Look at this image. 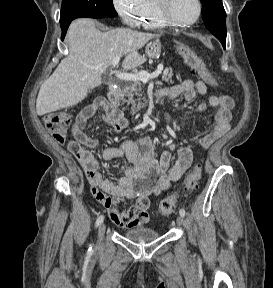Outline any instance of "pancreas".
I'll use <instances>...</instances> for the list:
<instances>
[{"mask_svg": "<svg viewBox=\"0 0 273 288\" xmlns=\"http://www.w3.org/2000/svg\"><path fill=\"white\" fill-rule=\"evenodd\" d=\"M173 71L171 68H165L163 71L162 78L167 83H173L172 80ZM143 95L142 92V84L139 81H133L128 82L125 84V87L123 88V98L122 103L131 104L133 108V112L140 109V102H137V100L134 99V96L140 97Z\"/></svg>", "mask_w": 273, "mask_h": 288, "instance_id": "1", "label": "pancreas"}]
</instances>
